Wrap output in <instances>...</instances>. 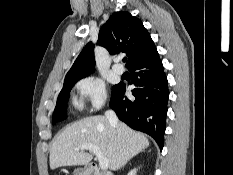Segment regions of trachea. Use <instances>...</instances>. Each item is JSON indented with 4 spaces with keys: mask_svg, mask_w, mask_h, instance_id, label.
<instances>
[{
    "mask_svg": "<svg viewBox=\"0 0 233 175\" xmlns=\"http://www.w3.org/2000/svg\"><path fill=\"white\" fill-rule=\"evenodd\" d=\"M127 61V58L125 57V58H123V62H126Z\"/></svg>",
    "mask_w": 233,
    "mask_h": 175,
    "instance_id": "trachea-1",
    "label": "trachea"
}]
</instances>
